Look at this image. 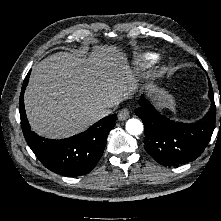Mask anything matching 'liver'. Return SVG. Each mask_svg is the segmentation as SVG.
<instances>
[{
	"label": "liver",
	"instance_id": "1",
	"mask_svg": "<svg viewBox=\"0 0 221 221\" xmlns=\"http://www.w3.org/2000/svg\"><path fill=\"white\" fill-rule=\"evenodd\" d=\"M136 86L115 46L97 47L89 62L58 52L33 67L24 103L34 131L62 138L86 129L98 120L95 109L117 106Z\"/></svg>",
	"mask_w": 221,
	"mask_h": 221
}]
</instances>
